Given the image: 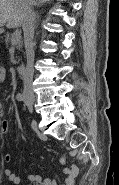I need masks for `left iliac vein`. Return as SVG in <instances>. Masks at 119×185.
I'll list each match as a JSON object with an SVG mask.
<instances>
[{"label": "left iliac vein", "mask_w": 119, "mask_h": 185, "mask_svg": "<svg viewBox=\"0 0 119 185\" xmlns=\"http://www.w3.org/2000/svg\"><path fill=\"white\" fill-rule=\"evenodd\" d=\"M27 106H28L29 111H32V107H31V106H29V105H27Z\"/></svg>", "instance_id": "left-iliac-vein-1"}]
</instances>
